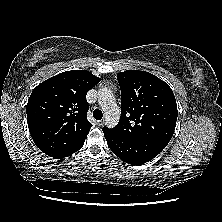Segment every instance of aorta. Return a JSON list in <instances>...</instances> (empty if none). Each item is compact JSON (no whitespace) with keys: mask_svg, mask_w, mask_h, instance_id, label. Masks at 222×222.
I'll return each mask as SVG.
<instances>
[{"mask_svg":"<svg viewBox=\"0 0 222 222\" xmlns=\"http://www.w3.org/2000/svg\"><path fill=\"white\" fill-rule=\"evenodd\" d=\"M98 101L104 112L106 125L109 128H114L120 118V109L111 90L100 88L98 91Z\"/></svg>","mask_w":222,"mask_h":222,"instance_id":"aorta-1","label":"aorta"}]
</instances>
